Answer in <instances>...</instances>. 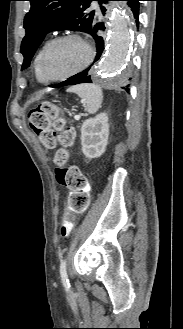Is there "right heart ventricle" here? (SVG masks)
I'll return each mask as SVG.
<instances>
[{
  "instance_id": "1",
  "label": "right heart ventricle",
  "mask_w": 183,
  "mask_h": 329,
  "mask_svg": "<svg viewBox=\"0 0 183 329\" xmlns=\"http://www.w3.org/2000/svg\"><path fill=\"white\" fill-rule=\"evenodd\" d=\"M49 44V41H46L42 44V46L39 48V50L37 51L35 57H34V62H33V66H34V73H35V77L36 79L41 82V83H45L47 82L45 80V78L43 77L42 73H41V69H40V61H41V56L43 54L44 49L46 48V46Z\"/></svg>"
}]
</instances>
